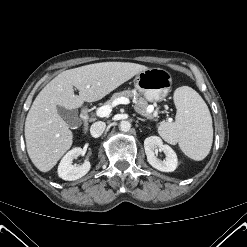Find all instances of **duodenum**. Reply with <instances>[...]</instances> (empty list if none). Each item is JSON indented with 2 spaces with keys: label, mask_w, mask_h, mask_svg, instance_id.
<instances>
[{
  "label": "duodenum",
  "mask_w": 247,
  "mask_h": 247,
  "mask_svg": "<svg viewBox=\"0 0 247 247\" xmlns=\"http://www.w3.org/2000/svg\"><path fill=\"white\" fill-rule=\"evenodd\" d=\"M81 118L83 121V130L86 132L88 129V124H89V115H88V111L86 109L82 110Z\"/></svg>",
  "instance_id": "duodenum-1"
}]
</instances>
